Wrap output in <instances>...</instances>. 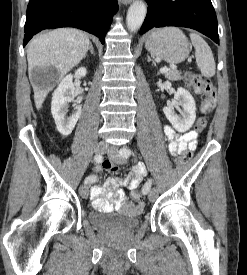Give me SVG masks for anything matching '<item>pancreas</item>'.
<instances>
[{
  "label": "pancreas",
  "instance_id": "1",
  "mask_svg": "<svg viewBox=\"0 0 247 275\" xmlns=\"http://www.w3.org/2000/svg\"><path fill=\"white\" fill-rule=\"evenodd\" d=\"M164 76L171 81H177L182 79L181 73L177 70H169L164 74Z\"/></svg>",
  "mask_w": 247,
  "mask_h": 275
}]
</instances>
